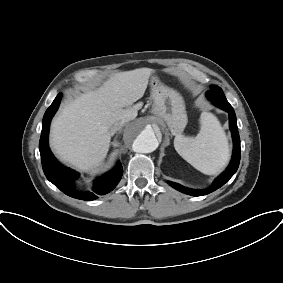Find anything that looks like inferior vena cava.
<instances>
[{
	"instance_id": "1",
	"label": "inferior vena cava",
	"mask_w": 283,
	"mask_h": 283,
	"mask_svg": "<svg viewBox=\"0 0 283 283\" xmlns=\"http://www.w3.org/2000/svg\"><path fill=\"white\" fill-rule=\"evenodd\" d=\"M123 125H124L123 122H116V123H114V124L111 126V128H110L111 133L114 134L115 132H117L118 130H120Z\"/></svg>"
}]
</instances>
